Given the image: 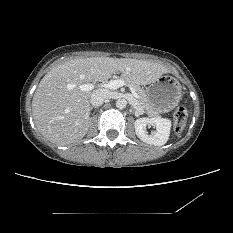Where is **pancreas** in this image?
Returning <instances> with one entry per match:
<instances>
[{
  "label": "pancreas",
  "instance_id": "pancreas-1",
  "mask_svg": "<svg viewBox=\"0 0 233 233\" xmlns=\"http://www.w3.org/2000/svg\"><path fill=\"white\" fill-rule=\"evenodd\" d=\"M124 82H125V85L132 86L135 89V91L138 94L137 102L147 112L148 115L159 116V113L155 111L148 103L146 92L142 87L127 80H124Z\"/></svg>",
  "mask_w": 233,
  "mask_h": 233
}]
</instances>
